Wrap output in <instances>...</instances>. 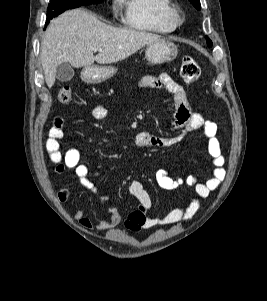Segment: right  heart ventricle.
I'll return each instance as SVG.
<instances>
[{
    "label": "right heart ventricle",
    "instance_id": "e07e8e85",
    "mask_svg": "<svg viewBox=\"0 0 267 301\" xmlns=\"http://www.w3.org/2000/svg\"><path fill=\"white\" fill-rule=\"evenodd\" d=\"M123 12V24L128 28L156 33L176 29L171 0H116Z\"/></svg>",
    "mask_w": 267,
    "mask_h": 301
}]
</instances>
